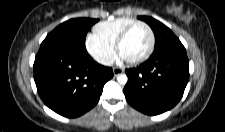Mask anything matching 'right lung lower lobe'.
<instances>
[{
	"label": "right lung lower lobe",
	"instance_id": "1",
	"mask_svg": "<svg viewBox=\"0 0 225 132\" xmlns=\"http://www.w3.org/2000/svg\"><path fill=\"white\" fill-rule=\"evenodd\" d=\"M34 80L43 102L56 113L73 118L93 108L113 71L95 62L87 52L40 47L34 62Z\"/></svg>",
	"mask_w": 225,
	"mask_h": 132
}]
</instances>
